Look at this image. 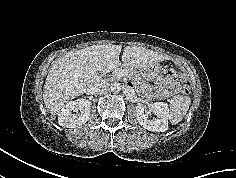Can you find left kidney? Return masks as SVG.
I'll return each mask as SVG.
<instances>
[{
  "label": "left kidney",
  "mask_w": 236,
  "mask_h": 178,
  "mask_svg": "<svg viewBox=\"0 0 236 178\" xmlns=\"http://www.w3.org/2000/svg\"><path fill=\"white\" fill-rule=\"evenodd\" d=\"M152 111L156 115V119H148V114L142 105L136 107V117L139 124L153 132H165L168 129L169 108L164 102H156L152 106Z\"/></svg>",
  "instance_id": "1"
}]
</instances>
